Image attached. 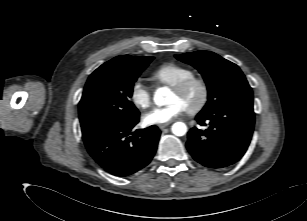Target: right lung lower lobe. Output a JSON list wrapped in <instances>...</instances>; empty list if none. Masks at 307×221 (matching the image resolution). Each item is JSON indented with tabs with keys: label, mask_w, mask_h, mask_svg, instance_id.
<instances>
[{
	"label": "right lung lower lobe",
	"mask_w": 307,
	"mask_h": 221,
	"mask_svg": "<svg viewBox=\"0 0 307 221\" xmlns=\"http://www.w3.org/2000/svg\"><path fill=\"white\" fill-rule=\"evenodd\" d=\"M138 122L139 116L105 127L83 139L89 154L108 173L127 177L152 160L161 132L156 126L132 132Z\"/></svg>",
	"instance_id": "right-lung-lower-lobe-1"
}]
</instances>
